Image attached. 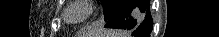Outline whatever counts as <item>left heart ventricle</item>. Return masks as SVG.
<instances>
[{
	"mask_svg": "<svg viewBox=\"0 0 219 37\" xmlns=\"http://www.w3.org/2000/svg\"><path fill=\"white\" fill-rule=\"evenodd\" d=\"M83 13H84V9L80 6H76L70 10L69 17L71 19H77V18L81 17L83 15Z\"/></svg>",
	"mask_w": 219,
	"mask_h": 37,
	"instance_id": "b2bd125f",
	"label": "left heart ventricle"
}]
</instances>
